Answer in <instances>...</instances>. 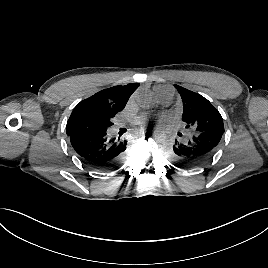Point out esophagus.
I'll return each instance as SVG.
<instances>
[{"label": "esophagus", "instance_id": "obj_1", "mask_svg": "<svg viewBox=\"0 0 268 268\" xmlns=\"http://www.w3.org/2000/svg\"><path fill=\"white\" fill-rule=\"evenodd\" d=\"M151 132L147 131V132H141V137H150Z\"/></svg>", "mask_w": 268, "mask_h": 268}]
</instances>
